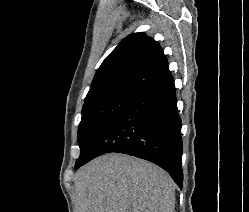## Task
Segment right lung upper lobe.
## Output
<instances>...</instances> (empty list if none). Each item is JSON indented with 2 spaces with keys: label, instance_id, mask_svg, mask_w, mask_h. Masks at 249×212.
Segmentation results:
<instances>
[{
  "label": "right lung upper lobe",
  "instance_id": "1",
  "mask_svg": "<svg viewBox=\"0 0 249 212\" xmlns=\"http://www.w3.org/2000/svg\"><path fill=\"white\" fill-rule=\"evenodd\" d=\"M172 77L159 43L145 33L123 39L97 70L86 100L109 92L142 94Z\"/></svg>",
  "mask_w": 249,
  "mask_h": 212
}]
</instances>
